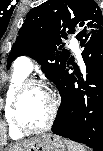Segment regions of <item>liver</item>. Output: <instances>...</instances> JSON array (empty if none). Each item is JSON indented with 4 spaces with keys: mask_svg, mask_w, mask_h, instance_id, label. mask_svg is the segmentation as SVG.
<instances>
[{
    "mask_svg": "<svg viewBox=\"0 0 103 151\" xmlns=\"http://www.w3.org/2000/svg\"><path fill=\"white\" fill-rule=\"evenodd\" d=\"M35 140L36 138H31L22 142L15 143L8 151H26Z\"/></svg>",
    "mask_w": 103,
    "mask_h": 151,
    "instance_id": "liver-1",
    "label": "liver"
}]
</instances>
